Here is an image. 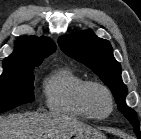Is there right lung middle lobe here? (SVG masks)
I'll list each match as a JSON object with an SVG mask.
<instances>
[{
  "label": "right lung middle lobe",
  "mask_w": 141,
  "mask_h": 139,
  "mask_svg": "<svg viewBox=\"0 0 141 139\" xmlns=\"http://www.w3.org/2000/svg\"><path fill=\"white\" fill-rule=\"evenodd\" d=\"M38 65L4 69L0 76V113L35 100L33 69Z\"/></svg>",
  "instance_id": "dd1d6c3e"
}]
</instances>
